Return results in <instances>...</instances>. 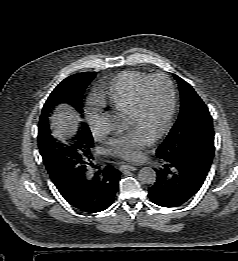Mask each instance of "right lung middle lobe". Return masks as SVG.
<instances>
[{
    "label": "right lung middle lobe",
    "instance_id": "1",
    "mask_svg": "<svg viewBox=\"0 0 238 261\" xmlns=\"http://www.w3.org/2000/svg\"><path fill=\"white\" fill-rule=\"evenodd\" d=\"M96 72H82L64 79L48 97L39 121V150L46 169L56 185L69 183L90 163L93 138L89 127L82 124L81 131L67 142L57 141L51 135L48 116L51 107L64 102L82 113L83 93Z\"/></svg>",
    "mask_w": 238,
    "mask_h": 261
}]
</instances>
